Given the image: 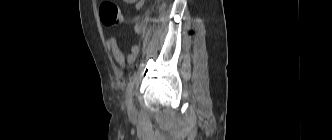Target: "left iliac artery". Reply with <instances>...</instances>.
<instances>
[{
	"label": "left iliac artery",
	"mask_w": 332,
	"mask_h": 140,
	"mask_svg": "<svg viewBox=\"0 0 332 140\" xmlns=\"http://www.w3.org/2000/svg\"><path fill=\"white\" fill-rule=\"evenodd\" d=\"M133 86L134 82L132 79L129 80L127 88H126V103L129 105L132 103V96H133Z\"/></svg>",
	"instance_id": "left-iliac-artery-1"
}]
</instances>
